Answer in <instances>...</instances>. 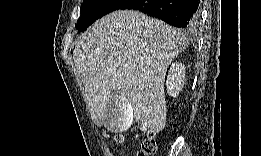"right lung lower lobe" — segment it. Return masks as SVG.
<instances>
[{
	"mask_svg": "<svg viewBox=\"0 0 261 156\" xmlns=\"http://www.w3.org/2000/svg\"><path fill=\"white\" fill-rule=\"evenodd\" d=\"M198 0H128L119 9H133L179 28H191L198 18Z\"/></svg>",
	"mask_w": 261,
	"mask_h": 156,
	"instance_id": "1",
	"label": "right lung lower lobe"
}]
</instances>
